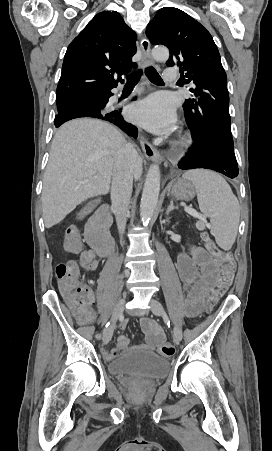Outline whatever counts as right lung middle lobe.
<instances>
[{
	"mask_svg": "<svg viewBox=\"0 0 272 451\" xmlns=\"http://www.w3.org/2000/svg\"><path fill=\"white\" fill-rule=\"evenodd\" d=\"M69 98H72V97H69ZM69 98H56L57 105H59L61 102L65 101Z\"/></svg>",
	"mask_w": 272,
	"mask_h": 451,
	"instance_id": "obj_1",
	"label": "right lung middle lobe"
}]
</instances>
